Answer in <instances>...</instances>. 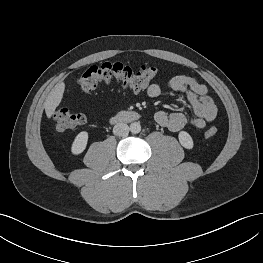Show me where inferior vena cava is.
I'll return each instance as SVG.
<instances>
[{"mask_svg": "<svg viewBox=\"0 0 263 263\" xmlns=\"http://www.w3.org/2000/svg\"><path fill=\"white\" fill-rule=\"evenodd\" d=\"M129 130V126L126 123H117L113 128V133L116 136H127Z\"/></svg>", "mask_w": 263, "mask_h": 263, "instance_id": "obj_1", "label": "inferior vena cava"}]
</instances>
